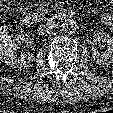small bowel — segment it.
<instances>
[{"label": "small bowel", "mask_w": 113, "mask_h": 113, "mask_svg": "<svg viewBox=\"0 0 113 113\" xmlns=\"http://www.w3.org/2000/svg\"><path fill=\"white\" fill-rule=\"evenodd\" d=\"M113 5V0H110ZM101 22L113 32V13H104L100 17Z\"/></svg>", "instance_id": "obj_1"}]
</instances>
